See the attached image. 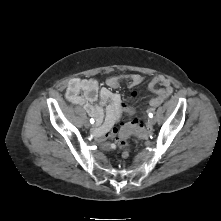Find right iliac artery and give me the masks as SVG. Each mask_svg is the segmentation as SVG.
I'll return each instance as SVG.
<instances>
[{"instance_id":"obj_1","label":"right iliac artery","mask_w":221,"mask_h":221,"mask_svg":"<svg viewBox=\"0 0 221 221\" xmlns=\"http://www.w3.org/2000/svg\"><path fill=\"white\" fill-rule=\"evenodd\" d=\"M95 120L93 118L90 119V123L93 124Z\"/></svg>"}]
</instances>
